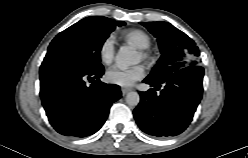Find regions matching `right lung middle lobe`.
I'll return each mask as SVG.
<instances>
[{
    "label": "right lung middle lobe",
    "instance_id": "obj_1",
    "mask_svg": "<svg viewBox=\"0 0 248 158\" xmlns=\"http://www.w3.org/2000/svg\"><path fill=\"white\" fill-rule=\"evenodd\" d=\"M112 19L92 16L59 33L48 47L43 63H63L83 69L102 67L100 51L116 25Z\"/></svg>",
    "mask_w": 248,
    "mask_h": 158
}]
</instances>
